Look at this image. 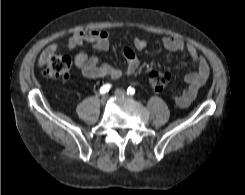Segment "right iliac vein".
<instances>
[{"mask_svg": "<svg viewBox=\"0 0 245 195\" xmlns=\"http://www.w3.org/2000/svg\"><path fill=\"white\" fill-rule=\"evenodd\" d=\"M107 100H108V95H103L101 98V104L102 105L106 104Z\"/></svg>", "mask_w": 245, "mask_h": 195, "instance_id": "right-iliac-vein-1", "label": "right iliac vein"}]
</instances>
